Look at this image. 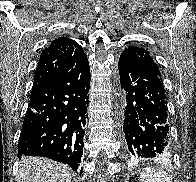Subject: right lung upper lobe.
I'll use <instances>...</instances> for the list:
<instances>
[{
  "label": "right lung upper lobe",
  "instance_id": "right-lung-upper-lobe-1",
  "mask_svg": "<svg viewBox=\"0 0 196 182\" xmlns=\"http://www.w3.org/2000/svg\"><path fill=\"white\" fill-rule=\"evenodd\" d=\"M85 56L86 54L82 47L74 40L67 37L54 39L51 44L41 52L35 71L32 91L67 71Z\"/></svg>",
  "mask_w": 196,
  "mask_h": 182
}]
</instances>
